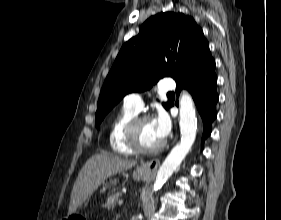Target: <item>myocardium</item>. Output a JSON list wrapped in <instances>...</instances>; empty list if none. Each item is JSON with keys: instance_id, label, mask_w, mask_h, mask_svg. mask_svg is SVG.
I'll use <instances>...</instances> for the list:
<instances>
[{"instance_id": "1", "label": "myocardium", "mask_w": 281, "mask_h": 220, "mask_svg": "<svg viewBox=\"0 0 281 220\" xmlns=\"http://www.w3.org/2000/svg\"><path fill=\"white\" fill-rule=\"evenodd\" d=\"M145 120H151V118L147 115H137L129 122L125 130V141L135 153L153 154L163 148L164 142L152 148H146L141 145L138 138V130L140 124Z\"/></svg>"}]
</instances>
